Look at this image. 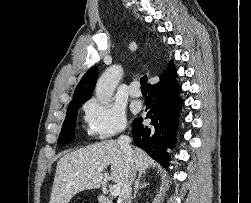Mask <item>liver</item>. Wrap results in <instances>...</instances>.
I'll use <instances>...</instances> for the list:
<instances>
[{
    "label": "liver",
    "mask_w": 251,
    "mask_h": 203,
    "mask_svg": "<svg viewBox=\"0 0 251 203\" xmlns=\"http://www.w3.org/2000/svg\"><path fill=\"white\" fill-rule=\"evenodd\" d=\"M154 161L140 148L133 149L130 163L118 142L107 140L72 151L59 159L49 203H68L75 194L100 188L103 174L98 168L111 166V179L123 187L129 167L145 173Z\"/></svg>",
    "instance_id": "6515ba94"
}]
</instances>
